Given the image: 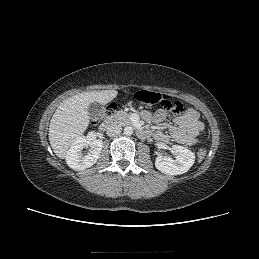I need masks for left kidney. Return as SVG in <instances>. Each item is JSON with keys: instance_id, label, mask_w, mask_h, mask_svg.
I'll list each match as a JSON object with an SVG mask.
<instances>
[{"instance_id": "obj_1", "label": "left kidney", "mask_w": 259, "mask_h": 259, "mask_svg": "<svg viewBox=\"0 0 259 259\" xmlns=\"http://www.w3.org/2000/svg\"><path fill=\"white\" fill-rule=\"evenodd\" d=\"M172 150L177 153L176 159L160 155L155 159L156 168L169 175H180L187 172L195 162L194 153L180 145H173Z\"/></svg>"}]
</instances>
